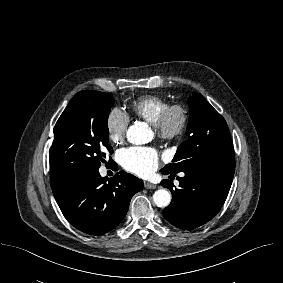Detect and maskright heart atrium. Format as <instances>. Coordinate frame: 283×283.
<instances>
[{
	"instance_id": "1",
	"label": "right heart atrium",
	"mask_w": 283,
	"mask_h": 283,
	"mask_svg": "<svg viewBox=\"0 0 283 283\" xmlns=\"http://www.w3.org/2000/svg\"><path fill=\"white\" fill-rule=\"evenodd\" d=\"M129 124V117L120 109H112L106 119V130L109 139L115 143H122Z\"/></svg>"
}]
</instances>
